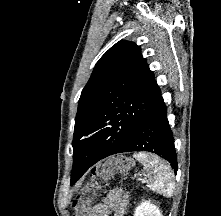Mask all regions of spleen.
<instances>
[{
  "instance_id": "spleen-1",
  "label": "spleen",
  "mask_w": 221,
  "mask_h": 216,
  "mask_svg": "<svg viewBox=\"0 0 221 216\" xmlns=\"http://www.w3.org/2000/svg\"><path fill=\"white\" fill-rule=\"evenodd\" d=\"M134 157L143 165V175L148 179L150 189L164 197H171L175 189L171 167L156 155L137 153Z\"/></svg>"
}]
</instances>
